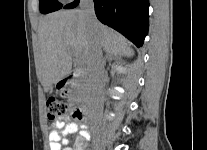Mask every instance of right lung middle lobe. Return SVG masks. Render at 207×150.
Instances as JSON below:
<instances>
[{
  "label": "right lung middle lobe",
  "mask_w": 207,
  "mask_h": 150,
  "mask_svg": "<svg viewBox=\"0 0 207 150\" xmlns=\"http://www.w3.org/2000/svg\"><path fill=\"white\" fill-rule=\"evenodd\" d=\"M40 12L47 14L61 9L63 6L56 0H39Z\"/></svg>",
  "instance_id": "1"
}]
</instances>
